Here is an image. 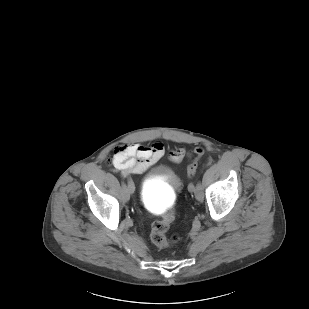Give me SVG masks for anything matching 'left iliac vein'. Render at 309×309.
<instances>
[{"mask_svg": "<svg viewBox=\"0 0 309 309\" xmlns=\"http://www.w3.org/2000/svg\"><path fill=\"white\" fill-rule=\"evenodd\" d=\"M188 189H189L190 192H193V185L190 184ZM194 193H195V198H196L197 201H202L203 200L204 194H203L202 188L201 189H196L195 188Z\"/></svg>", "mask_w": 309, "mask_h": 309, "instance_id": "1", "label": "left iliac vein"}]
</instances>
